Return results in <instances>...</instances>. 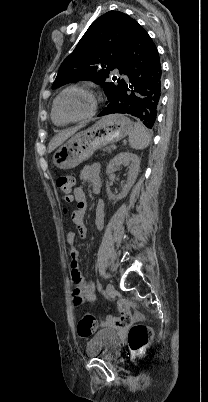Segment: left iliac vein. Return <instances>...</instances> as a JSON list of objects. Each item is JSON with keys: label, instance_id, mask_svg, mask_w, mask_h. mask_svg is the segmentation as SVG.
<instances>
[{"label": "left iliac vein", "instance_id": "1", "mask_svg": "<svg viewBox=\"0 0 208 402\" xmlns=\"http://www.w3.org/2000/svg\"><path fill=\"white\" fill-rule=\"evenodd\" d=\"M106 295H107V298H113L115 296V288L111 283L107 284Z\"/></svg>", "mask_w": 208, "mask_h": 402}]
</instances>
